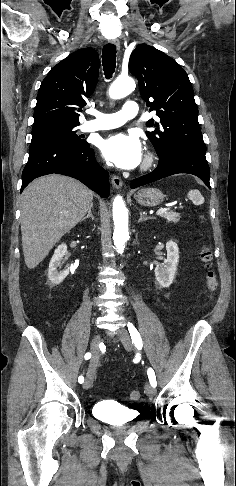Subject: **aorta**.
Wrapping results in <instances>:
<instances>
[{"label":"aorta","mask_w":236,"mask_h":486,"mask_svg":"<svg viewBox=\"0 0 236 486\" xmlns=\"http://www.w3.org/2000/svg\"><path fill=\"white\" fill-rule=\"evenodd\" d=\"M135 87V81L132 78H118L110 86L109 96L112 99H121L132 93ZM113 220L115 225L113 233L114 245L117 248V252L122 253L125 243L129 239L128 211L123 198L119 195L113 201Z\"/></svg>","instance_id":"aorta-1"}]
</instances>
